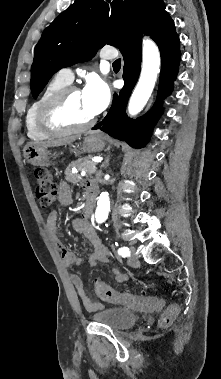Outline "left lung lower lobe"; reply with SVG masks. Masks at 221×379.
Returning <instances> with one entry per match:
<instances>
[{
	"instance_id": "1",
	"label": "left lung lower lobe",
	"mask_w": 221,
	"mask_h": 379,
	"mask_svg": "<svg viewBox=\"0 0 221 379\" xmlns=\"http://www.w3.org/2000/svg\"><path fill=\"white\" fill-rule=\"evenodd\" d=\"M142 33L150 35L160 49L161 73L158 98L162 99L172 91L181 57L180 42L175 31L174 21L165 10L162 0L155 6L140 31L127 37L121 43L119 49L125 61L123 74L125 84L119 95H114L108 114L93 127V129H98L103 125L102 131L119 140L126 141L134 148H141L146 145L152 126L155 125L161 113L159 108L155 107L136 120L128 118L125 114L129 96L140 73Z\"/></svg>"
}]
</instances>
